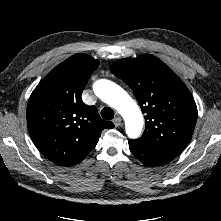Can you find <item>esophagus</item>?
Wrapping results in <instances>:
<instances>
[{"label":"esophagus","mask_w":221,"mask_h":221,"mask_svg":"<svg viewBox=\"0 0 221 221\" xmlns=\"http://www.w3.org/2000/svg\"><path fill=\"white\" fill-rule=\"evenodd\" d=\"M113 123H114L115 127L121 126V125H122V119H121V117H115V118L113 119Z\"/></svg>","instance_id":"esophagus-1"}]
</instances>
